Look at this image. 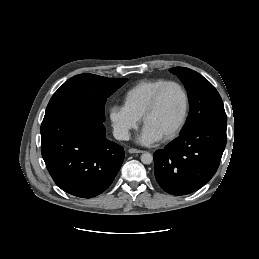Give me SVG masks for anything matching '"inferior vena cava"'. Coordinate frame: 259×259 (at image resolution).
I'll return each instance as SVG.
<instances>
[{
	"instance_id": "602c4592",
	"label": "inferior vena cava",
	"mask_w": 259,
	"mask_h": 259,
	"mask_svg": "<svg viewBox=\"0 0 259 259\" xmlns=\"http://www.w3.org/2000/svg\"><path fill=\"white\" fill-rule=\"evenodd\" d=\"M113 136L117 140H125V141L129 140V138H130V134H129L128 130L123 129V128L114 129Z\"/></svg>"
}]
</instances>
